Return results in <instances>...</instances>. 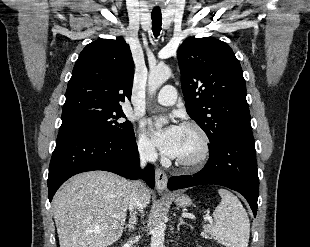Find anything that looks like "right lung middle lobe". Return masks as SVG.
<instances>
[{
    "label": "right lung middle lobe",
    "instance_id": "dd1d6c3e",
    "mask_svg": "<svg viewBox=\"0 0 310 247\" xmlns=\"http://www.w3.org/2000/svg\"><path fill=\"white\" fill-rule=\"evenodd\" d=\"M125 117L122 108H99L94 106H77L62 111L60 130L92 129L113 137H123L133 131L129 121L121 122Z\"/></svg>",
    "mask_w": 310,
    "mask_h": 247
}]
</instances>
